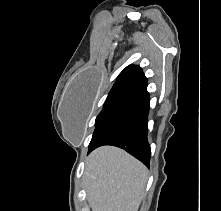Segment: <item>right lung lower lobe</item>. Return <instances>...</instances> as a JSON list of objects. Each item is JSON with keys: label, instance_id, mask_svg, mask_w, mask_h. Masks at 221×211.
Here are the masks:
<instances>
[{"label": "right lung lower lobe", "instance_id": "right-lung-lower-lobe-1", "mask_svg": "<svg viewBox=\"0 0 221 211\" xmlns=\"http://www.w3.org/2000/svg\"><path fill=\"white\" fill-rule=\"evenodd\" d=\"M149 93L139 91L117 117L89 145L88 154L102 145H113L126 150L149 167L150 145L147 141Z\"/></svg>", "mask_w": 221, "mask_h": 211}]
</instances>
